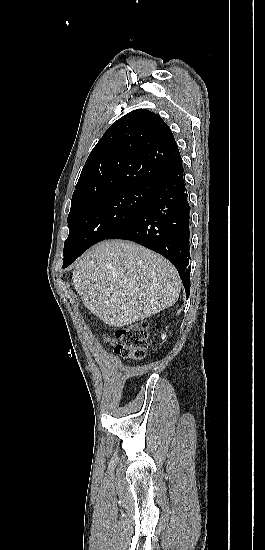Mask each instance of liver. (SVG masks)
I'll use <instances>...</instances> for the list:
<instances>
[{
	"label": "liver",
	"instance_id": "1",
	"mask_svg": "<svg viewBox=\"0 0 265 550\" xmlns=\"http://www.w3.org/2000/svg\"><path fill=\"white\" fill-rule=\"evenodd\" d=\"M72 279L84 305L105 324L117 328L173 306L181 290L172 263L124 240L93 246L77 262Z\"/></svg>",
	"mask_w": 265,
	"mask_h": 550
}]
</instances>
